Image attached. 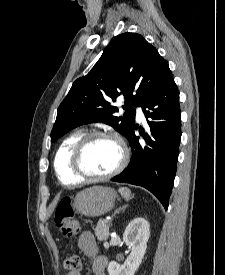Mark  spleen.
<instances>
[{
    "label": "spleen",
    "mask_w": 225,
    "mask_h": 275,
    "mask_svg": "<svg viewBox=\"0 0 225 275\" xmlns=\"http://www.w3.org/2000/svg\"><path fill=\"white\" fill-rule=\"evenodd\" d=\"M119 193L122 195L123 198L129 200L131 198V191L128 188L121 187L119 188Z\"/></svg>",
    "instance_id": "1"
}]
</instances>
